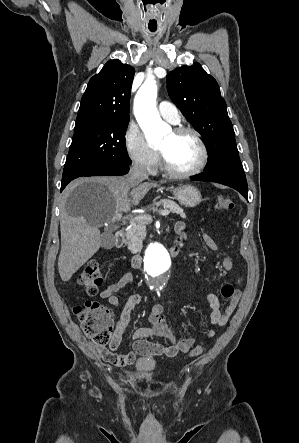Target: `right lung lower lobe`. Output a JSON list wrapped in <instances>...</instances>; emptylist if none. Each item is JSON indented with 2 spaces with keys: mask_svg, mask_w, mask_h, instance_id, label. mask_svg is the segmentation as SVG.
I'll use <instances>...</instances> for the list:
<instances>
[{
  "mask_svg": "<svg viewBox=\"0 0 299 443\" xmlns=\"http://www.w3.org/2000/svg\"><path fill=\"white\" fill-rule=\"evenodd\" d=\"M128 171L129 164H113L96 168L82 174L81 176H118L125 175L128 173ZM68 183L69 182L61 183V191L66 187Z\"/></svg>",
  "mask_w": 299,
  "mask_h": 443,
  "instance_id": "right-lung-lower-lobe-1",
  "label": "right lung lower lobe"
}]
</instances>
